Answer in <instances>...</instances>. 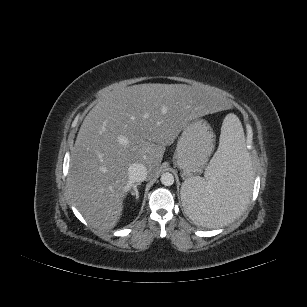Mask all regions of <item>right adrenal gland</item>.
<instances>
[{
    "label": "right adrenal gland",
    "instance_id": "2a0ac1e0",
    "mask_svg": "<svg viewBox=\"0 0 307 307\" xmlns=\"http://www.w3.org/2000/svg\"><path fill=\"white\" fill-rule=\"evenodd\" d=\"M141 183H137L133 186V190L130 192L132 196H135V199L138 200L139 199V192L137 187L140 185Z\"/></svg>",
    "mask_w": 307,
    "mask_h": 307
}]
</instances>
